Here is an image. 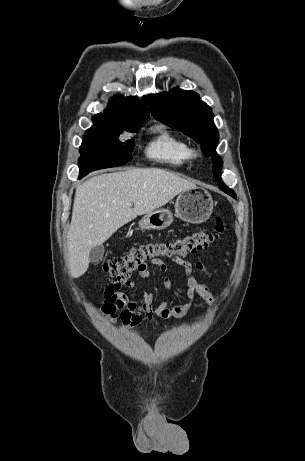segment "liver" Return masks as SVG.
<instances>
[{
	"label": "liver",
	"mask_w": 305,
	"mask_h": 461,
	"mask_svg": "<svg viewBox=\"0 0 305 461\" xmlns=\"http://www.w3.org/2000/svg\"><path fill=\"white\" fill-rule=\"evenodd\" d=\"M195 187L193 182L158 168L103 174L79 185L67 235L71 276H82L89 267L91 249L120 227Z\"/></svg>",
	"instance_id": "obj_1"
}]
</instances>
